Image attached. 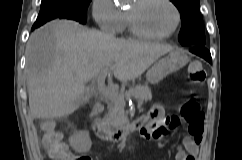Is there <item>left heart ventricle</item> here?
<instances>
[{
	"label": "left heart ventricle",
	"mask_w": 242,
	"mask_h": 160,
	"mask_svg": "<svg viewBox=\"0 0 242 160\" xmlns=\"http://www.w3.org/2000/svg\"><path fill=\"white\" fill-rule=\"evenodd\" d=\"M127 11L134 14L139 26L150 34H165L175 25L176 15L164 0H138L131 2Z\"/></svg>",
	"instance_id": "1"
}]
</instances>
